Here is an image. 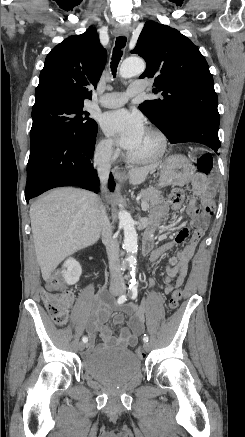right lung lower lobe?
Listing matches in <instances>:
<instances>
[{"mask_svg": "<svg viewBox=\"0 0 245 437\" xmlns=\"http://www.w3.org/2000/svg\"><path fill=\"white\" fill-rule=\"evenodd\" d=\"M97 131L90 138L69 141L57 134H46L30 146L27 164L25 199L62 186H79L98 192L99 179L93 170L91 159ZM108 188L113 191L112 174Z\"/></svg>", "mask_w": 245, "mask_h": 437, "instance_id": "1", "label": "right lung lower lobe"}]
</instances>
